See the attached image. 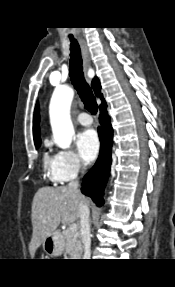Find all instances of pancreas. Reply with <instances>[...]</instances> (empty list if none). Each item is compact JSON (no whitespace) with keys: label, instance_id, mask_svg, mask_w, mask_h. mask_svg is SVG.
<instances>
[{"label":"pancreas","instance_id":"pancreas-1","mask_svg":"<svg viewBox=\"0 0 175 287\" xmlns=\"http://www.w3.org/2000/svg\"><path fill=\"white\" fill-rule=\"evenodd\" d=\"M65 238V250L73 258H77L81 254V242L78 232H71L69 229L63 232Z\"/></svg>","mask_w":175,"mask_h":287}]
</instances>
